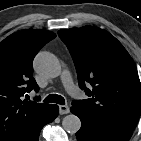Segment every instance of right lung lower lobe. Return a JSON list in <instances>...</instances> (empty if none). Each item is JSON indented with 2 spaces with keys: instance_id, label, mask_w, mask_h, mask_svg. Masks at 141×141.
I'll return each mask as SVG.
<instances>
[{
  "instance_id": "1",
  "label": "right lung lower lobe",
  "mask_w": 141,
  "mask_h": 141,
  "mask_svg": "<svg viewBox=\"0 0 141 141\" xmlns=\"http://www.w3.org/2000/svg\"><path fill=\"white\" fill-rule=\"evenodd\" d=\"M59 107L50 105L46 114L41 117L22 137L16 141H38L41 129L48 123L52 122L58 115Z\"/></svg>"
}]
</instances>
